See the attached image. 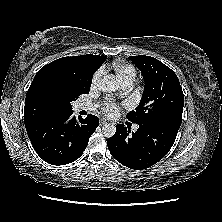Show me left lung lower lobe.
Masks as SVG:
<instances>
[{"instance_id":"0a47b994","label":"left lung lower lobe","mask_w":222,"mask_h":222,"mask_svg":"<svg viewBox=\"0 0 222 222\" xmlns=\"http://www.w3.org/2000/svg\"><path fill=\"white\" fill-rule=\"evenodd\" d=\"M138 125L132 135L124 125H117L116 133L107 140V145L118 162L142 170L156 164L169 152L181 122L160 119Z\"/></svg>"}]
</instances>
